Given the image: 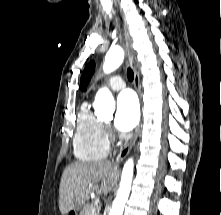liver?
<instances>
[{"label":"liver","instance_id":"6515ba94","mask_svg":"<svg viewBox=\"0 0 221 215\" xmlns=\"http://www.w3.org/2000/svg\"><path fill=\"white\" fill-rule=\"evenodd\" d=\"M117 174V166L109 161L76 162L66 167L59 188L61 214L84 206L95 191L109 192L115 184Z\"/></svg>","mask_w":221,"mask_h":215}]
</instances>
